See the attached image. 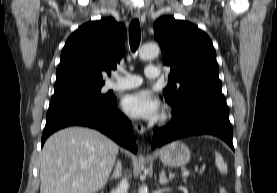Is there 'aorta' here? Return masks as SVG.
<instances>
[{
	"label": "aorta",
	"mask_w": 277,
	"mask_h": 193,
	"mask_svg": "<svg viewBox=\"0 0 277 193\" xmlns=\"http://www.w3.org/2000/svg\"><path fill=\"white\" fill-rule=\"evenodd\" d=\"M159 54V46L156 44H145L139 50V56L142 60H151L157 57ZM138 193H148L146 185H142L139 188Z\"/></svg>",
	"instance_id": "aorta-1"
}]
</instances>
